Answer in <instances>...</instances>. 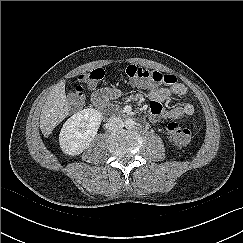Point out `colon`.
Instances as JSON below:
<instances>
[{"label": "colon", "mask_w": 243, "mask_h": 243, "mask_svg": "<svg viewBox=\"0 0 243 243\" xmlns=\"http://www.w3.org/2000/svg\"><path fill=\"white\" fill-rule=\"evenodd\" d=\"M126 75L135 83L147 85H175L177 78L172 74L161 73L149 70L136 65H129L125 69ZM104 78V70L97 68L85 72L78 76V81L83 84H96ZM69 98L77 107H82L85 103V95L82 85H78L70 92ZM167 130L171 139L178 145L184 146L191 139V132L177 122H170Z\"/></svg>", "instance_id": "1"}]
</instances>
